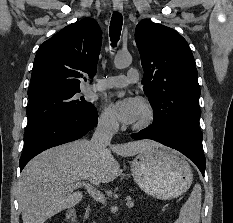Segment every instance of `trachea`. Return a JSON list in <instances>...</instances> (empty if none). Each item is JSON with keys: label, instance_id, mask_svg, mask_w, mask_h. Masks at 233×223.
Returning a JSON list of instances; mask_svg holds the SVG:
<instances>
[{"label": "trachea", "instance_id": "1", "mask_svg": "<svg viewBox=\"0 0 233 223\" xmlns=\"http://www.w3.org/2000/svg\"><path fill=\"white\" fill-rule=\"evenodd\" d=\"M122 23H123L122 15L120 13L114 12L112 15L110 27H109L112 47H115L119 40L121 29H122Z\"/></svg>", "mask_w": 233, "mask_h": 223}]
</instances>
